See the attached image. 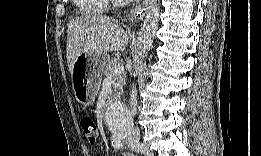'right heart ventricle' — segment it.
Masks as SVG:
<instances>
[{
    "mask_svg": "<svg viewBox=\"0 0 261 156\" xmlns=\"http://www.w3.org/2000/svg\"><path fill=\"white\" fill-rule=\"evenodd\" d=\"M76 4L86 11H93L99 9L103 2L98 0H78Z\"/></svg>",
    "mask_w": 261,
    "mask_h": 156,
    "instance_id": "1",
    "label": "right heart ventricle"
}]
</instances>
